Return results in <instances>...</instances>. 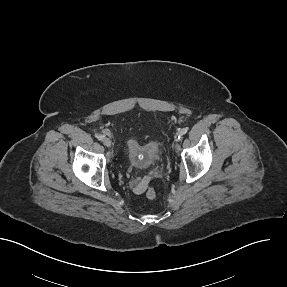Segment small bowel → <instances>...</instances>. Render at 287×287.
Wrapping results in <instances>:
<instances>
[{
    "mask_svg": "<svg viewBox=\"0 0 287 287\" xmlns=\"http://www.w3.org/2000/svg\"><path fill=\"white\" fill-rule=\"evenodd\" d=\"M144 189H145V185L144 184H139V185H137L135 187V192L140 194V193H142L144 191Z\"/></svg>",
    "mask_w": 287,
    "mask_h": 287,
    "instance_id": "small-bowel-1",
    "label": "small bowel"
}]
</instances>
